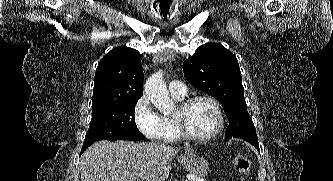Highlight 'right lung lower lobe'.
I'll use <instances>...</instances> for the list:
<instances>
[{
  "label": "right lung lower lobe",
  "instance_id": "98d812e1",
  "mask_svg": "<svg viewBox=\"0 0 333 181\" xmlns=\"http://www.w3.org/2000/svg\"><path fill=\"white\" fill-rule=\"evenodd\" d=\"M90 145L83 146L80 155L84 152L85 149H87Z\"/></svg>",
  "mask_w": 333,
  "mask_h": 181
}]
</instances>
